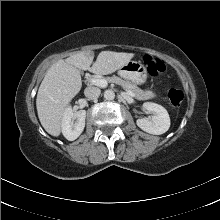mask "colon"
<instances>
[{"label":"colon","mask_w":220,"mask_h":220,"mask_svg":"<svg viewBox=\"0 0 220 220\" xmlns=\"http://www.w3.org/2000/svg\"><path fill=\"white\" fill-rule=\"evenodd\" d=\"M143 63L146 66L148 72L152 76H156L165 70L164 63L157 57L152 55H145ZM184 99V92L180 88H171L168 91V100L171 106L179 107Z\"/></svg>","instance_id":"colon-1"}]
</instances>
